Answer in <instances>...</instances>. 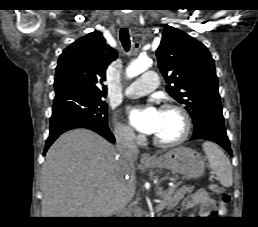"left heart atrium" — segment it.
Masks as SVG:
<instances>
[{
    "mask_svg": "<svg viewBox=\"0 0 258 227\" xmlns=\"http://www.w3.org/2000/svg\"><path fill=\"white\" fill-rule=\"evenodd\" d=\"M129 119L132 125L139 131L146 134H154L160 120V110L153 105L142 109H130Z\"/></svg>",
    "mask_w": 258,
    "mask_h": 227,
    "instance_id": "left-heart-atrium-1",
    "label": "left heart atrium"
}]
</instances>
